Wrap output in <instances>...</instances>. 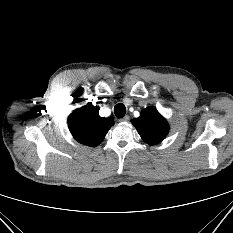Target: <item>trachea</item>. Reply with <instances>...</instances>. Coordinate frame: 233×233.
<instances>
[{
  "instance_id": "3493384b",
  "label": "trachea",
  "mask_w": 233,
  "mask_h": 233,
  "mask_svg": "<svg viewBox=\"0 0 233 233\" xmlns=\"http://www.w3.org/2000/svg\"><path fill=\"white\" fill-rule=\"evenodd\" d=\"M114 113L117 118H122L126 113V107L122 103H119L114 107Z\"/></svg>"
}]
</instances>
